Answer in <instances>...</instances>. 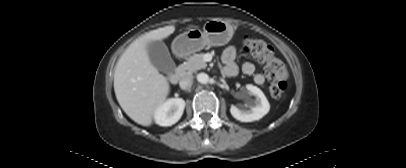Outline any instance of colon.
<instances>
[{
  "label": "colon",
  "mask_w": 406,
  "mask_h": 168,
  "mask_svg": "<svg viewBox=\"0 0 406 168\" xmlns=\"http://www.w3.org/2000/svg\"><path fill=\"white\" fill-rule=\"evenodd\" d=\"M243 51L265 64L270 94L280 97L287 85V71L283 62L275 56L272 46L262 39L247 37L243 41Z\"/></svg>",
  "instance_id": "obj_1"
}]
</instances>
